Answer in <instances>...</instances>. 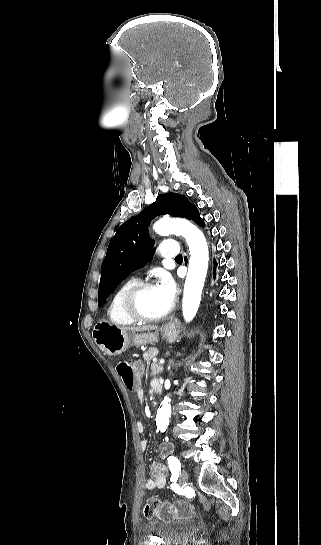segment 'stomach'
<instances>
[{"instance_id":"1","label":"stomach","mask_w":321,"mask_h":545,"mask_svg":"<svg viewBox=\"0 0 321 545\" xmlns=\"http://www.w3.org/2000/svg\"><path fill=\"white\" fill-rule=\"evenodd\" d=\"M160 331L163 339H166L169 343L177 341L178 335L181 333L177 321L167 323ZM158 337L159 333H151V331L123 333L116 325H110L107 321H98L93 329V339L99 349L106 355H121L129 347H143V345H149V343L151 345L152 343H158Z\"/></svg>"}]
</instances>
